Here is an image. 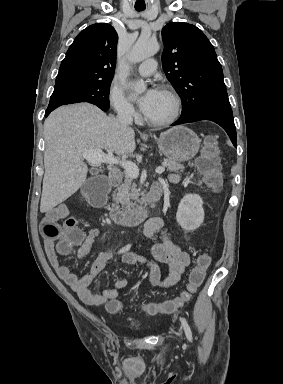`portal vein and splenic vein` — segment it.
<instances>
[{"instance_id":"18ae733b","label":"portal vein and splenic vein","mask_w":283,"mask_h":384,"mask_svg":"<svg viewBox=\"0 0 283 384\" xmlns=\"http://www.w3.org/2000/svg\"><path fill=\"white\" fill-rule=\"evenodd\" d=\"M83 158L89 162V164H120L122 168H124L125 174L130 176V178H138L139 170L136 164L133 162H119L117 158H113L110 154H104L102 150H86L83 154ZM156 174H163L165 172V168H156Z\"/></svg>"}]
</instances>
